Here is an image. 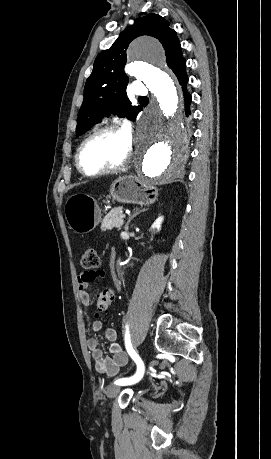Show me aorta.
Returning a JSON list of instances; mask_svg holds the SVG:
<instances>
[{"label": "aorta", "mask_w": 271, "mask_h": 459, "mask_svg": "<svg viewBox=\"0 0 271 459\" xmlns=\"http://www.w3.org/2000/svg\"><path fill=\"white\" fill-rule=\"evenodd\" d=\"M127 54V73L141 79L153 95L139 123L133 164L144 180L166 182L183 170L189 152L178 83L157 40L137 38Z\"/></svg>", "instance_id": "762f6f07"}]
</instances>
